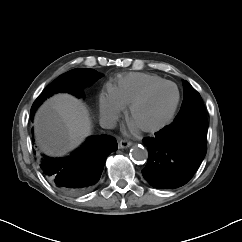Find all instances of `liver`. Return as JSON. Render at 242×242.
Segmentation results:
<instances>
[{"instance_id":"obj_1","label":"liver","mask_w":242,"mask_h":242,"mask_svg":"<svg viewBox=\"0 0 242 242\" xmlns=\"http://www.w3.org/2000/svg\"><path fill=\"white\" fill-rule=\"evenodd\" d=\"M35 132L45 150L64 154L77 147L90 133L87 110L73 96L58 94L37 112Z\"/></svg>"}]
</instances>
